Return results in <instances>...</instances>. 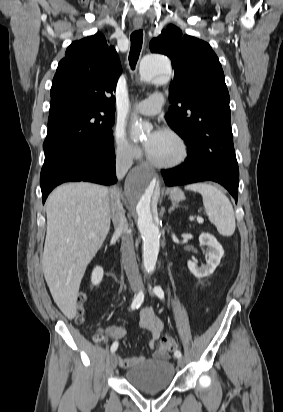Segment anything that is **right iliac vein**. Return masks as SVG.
Instances as JSON below:
<instances>
[{
  "mask_svg": "<svg viewBox=\"0 0 283 412\" xmlns=\"http://www.w3.org/2000/svg\"><path fill=\"white\" fill-rule=\"evenodd\" d=\"M134 291L137 292V290H134ZM117 362H118L117 355L113 353L109 358V367H110V369H112V370L115 369L116 366H117Z\"/></svg>",
  "mask_w": 283,
  "mask_h": 412,
  "instance_id": "1",
  "label": "right iliac vein"
}]
</instances>
